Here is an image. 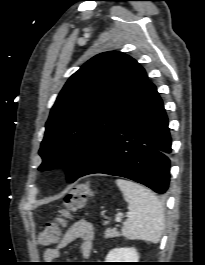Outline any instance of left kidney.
Listing matches in <instances>:
<instances>
[{
	"mask_svg": "<svg viewBox=\"0 0 205 265\" xmlns=\"http://www.w3.org/2000/svg\"><path fill=\"white\" fill-rule=\"evenodd\" d=\"M139 255L135 248H115L106 256V262H138Z\"/></svg>",
	"mask_w": 205,
	"mask_h": 265,
	"instance_id": "1",
	"label": "left kidney"
}]
</instances>
